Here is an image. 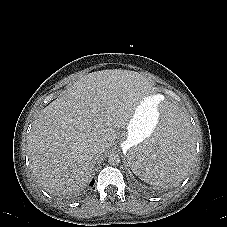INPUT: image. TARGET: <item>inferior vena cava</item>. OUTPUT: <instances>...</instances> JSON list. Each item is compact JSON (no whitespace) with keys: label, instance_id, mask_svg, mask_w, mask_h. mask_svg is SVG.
Returning a JSON list of instances; mask_svg holds the SVG:
<instances>
[{"label":"inferior vena cava","instance_id":"1","mask_svg":"<svg viewBox=\"0 0 227 227\" xmlns=\"http://www.w3.org/2000/svg\"><path fill=\"white\" fill-rule=\"evenodd\" d=\"M104 149H105V144H98V145L95 147L96 153H100V152L104 151Z\"/></svg>","mask_w":227,"mask_h":227}]
</instances>
